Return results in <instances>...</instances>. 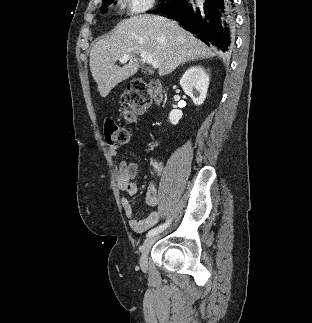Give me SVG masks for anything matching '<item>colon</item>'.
<instances>
[{"label": "colon", "mask_w": 312, "mask_h": 323, "mask_svg": "<svg viewBox=\"0 0 312 323\" xmlns=\"http://www.w3.org/2000/svg\"><path fill=\"white\" fill-rule=\"evenodd\" d=\"M161 100L160 83L150 82L143 78H132L128 82L126 91L121 95L120 110L123 120L130 124L134 121L135 114L139 113L153 102ZM104 138L109 146H124L129 140V130L113 120L104 123Z\"/></svg>", "instance_id": "colon-1"}]
</instances>
